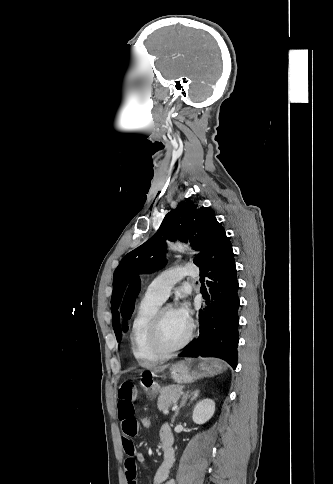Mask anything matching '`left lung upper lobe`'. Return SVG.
Instances as JSON below:
<instances>
[{
	"label": "left lung upper lobe",
	"instance_id": "obj_1",
	"mask_svg": "<svg viewBox=\"0 0 333 484\" xmlns=\"http://www.w3.org/2000/svg\"><path fill=\"white\" fill-rule=\"evenodd\" d=\"M212 219H215V213L208 207H200L192 201L181 202L165 216L158 232L152 238L121 260L114 272L111 297L113 328L118 342L121 340V330L117 309L132 276L137 273H151L165 265V240L179 239L191 242V245L201 252Z\"/></svg>",
	"mask_w": 333,
	"mask_h": 484
}]
</instances>
